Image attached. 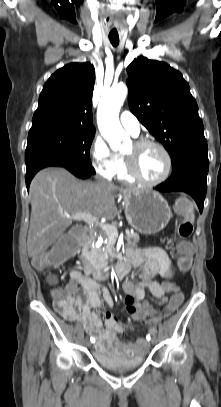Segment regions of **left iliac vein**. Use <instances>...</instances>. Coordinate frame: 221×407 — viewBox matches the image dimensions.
Returning <instances> with one entry per match:
<instances>
[{"instance_id": "obj_1", "label": "left iliac vein", "mask_w": 221, "mask_h": 407, "mask_svg": "<svg viewBox=\"0 0 221 407\" xmlns=\"http://www.w3.org/2000/svg\"><path fill=\"white\" fill-rule=\"evenodd\" d=\"M157 342V338H156V336L155 335H153V338H152V344H155ZM147 346H148V343H147Z\"/></svg>"}]
</instances>
